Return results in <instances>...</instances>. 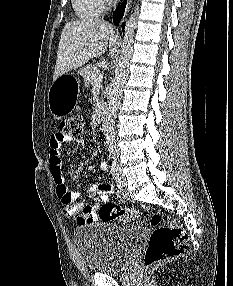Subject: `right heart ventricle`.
I'll use <instances>...</instances> for the list:
<instances>
[{"label":"right heart ventricle","instance_id":"e07e8e85","mask_svg":"<svg viewBox=\"0 0 233 286\" xmlns=\"http://www.w3.org/2000/svg\"><path fill=\"white\" fill-rule=\"evenodd\" d=\"M76 15L84 20L94 19L101 15L104 0H72Z\"/></svg>","mask_w":233,"mask_h":286}]
</instances>
